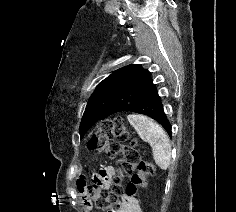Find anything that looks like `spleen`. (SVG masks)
<instances>
[{
    "mask_svg": "<svg viewBox=\"0 0 236 212\" xmlns=\"http://www.w3.org/2000/svg\"><path fill=\"white\" fill-rule=\"evenodd\" d=\"M127 119L141 139L152 147L155 163L166 170L170 165L171 145L163 128L144 115L131 114L127 116Z\"/></svg>",
    "mask_w": 236,
    "mask_h": 212,
    "instance_id": "1",
    "label": "spleen"
}]
</instances>
